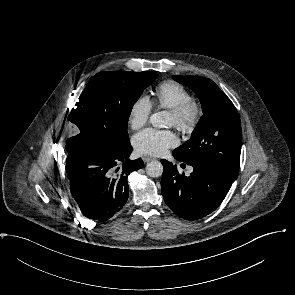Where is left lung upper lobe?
Returning a JSON list of instances; mask_svg holds the SVG:
<instances>
[{
  "mask_svg": "<svg viewBox=\"0 0 295 295\" xmlns=\"http://www.w3.org/2000/svg\"><path fill=\"white\" fill-rule=\"evenodd\" d=\"M198 95L203 116L191 138L173 152L185 163H203L234 181L239 171L242 133L238 112L231 100L210 79L174 76Z\"/></svg>",
  "mask_w": 295,
  "mask_h": 295,
  "instance_id": "1",
  "label": "left lung upper lobe"
}]
</instances>
